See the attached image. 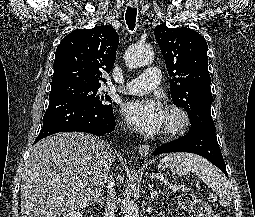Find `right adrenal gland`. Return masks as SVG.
Segmentation results:
<instances>
[{
	"instance_id": "2a0ac1e0",
	"label": "right adrenal gland",
	"mask_w": 255,
	"mask_h": 217,
	"mask_svg": "<svg viewBox=\"0 0 255 217\" xmlns=\"http://www.w3.org/2000/svg\"><path fill=\"white\" fill-rule=\"evenodd\" d=\"M97 202L101 203V205H104V203H105L104 197L98 198Z\"/></svg>"
}]
</instances>
